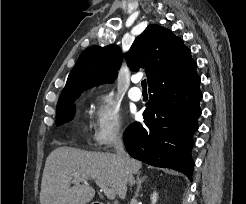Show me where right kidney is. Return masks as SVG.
Returning <instances> with one entry per match:
<instances>
[{"label": "right kidney", "instance_id": "obj_1", "mask_svg": "<svg viewBox=\"0 0 246 204\" xmlns=\"http://www.w3.org/2000/svg\"><path fill=\"white\" fill-rule=\"evenodd\" d=\"M157 199H158V193L153 192V194L151 195V204H156Z\"/></svg>", "mask_w": 246, "mask_h": 204}]
</instances>
